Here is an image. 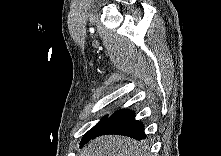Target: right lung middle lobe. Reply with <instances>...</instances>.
<instances>
[{"label": "right lung middle lobe", "mask_w": 221, "mask_h": 156, "mask_svg": "<svg viewBox=\"0 0 221 156\" xmlns=\"http://www.w3.org/2000/svg\"><path fill=\"white\" fill-rule=\"evenodd\" d=\"M108 116L103 117L91 130H89L83 137L80 146L86 144L94 135L99 131L101 126L104 124Z\"/></svg>", "instance_id": "right-lung-middle-lobe-1"}]
</instances>
